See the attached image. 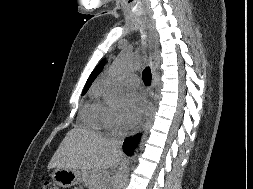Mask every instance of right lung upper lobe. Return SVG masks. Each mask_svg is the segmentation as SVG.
<instances>
[{"mask_svg":"<svg viewBox=\"0 0 253 189\" xmlns=\"http://www.w3.org/2000/svg\"><path fill=\"white\" fill-rule=\"evenodd\" d=\"M105 64V59L100 62V64L93 70L91 75L89 76L86 85L84 87V90H88L91 86V83L94 81V79L97 77V75L102 71L103 66Z\"/></svg>","mask_w":253,"mask_h":189,"instance_id":"1","label":"right lung upper lobe"}]
</instances>
